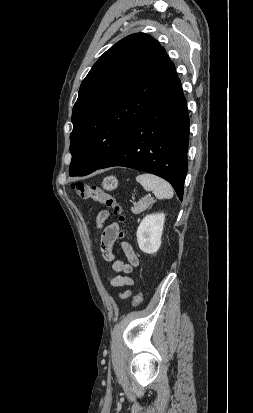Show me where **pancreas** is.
I'll return each mask as SVG.
<instances>
[{"mask_svg":"<svg viewBox=\"0 0 253 413\" xmlns=\"http://www.w3.org/2000/svg\"><path fill=\"white\" fill-rule=\"evenodd\" d=\"M155 203L153 198L144 197L140 201L135 202L134 206L131 208L132 213L140 214L145 211L148 207L152 206Z\"/></svg>","mask_w":253,"mask_h":413,"instance_id":"obj_1","label":"pancreas"}]
</instances>
